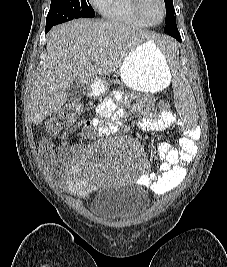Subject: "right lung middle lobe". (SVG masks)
Wrapping results in <instances>:
<instances>
[{"mask_svg":"<svg viewBox=\"0 0 227 267\" xmlns=\"http://www.w3.org/2000/svg\"><path fill=\"white\" fill-rule=\"evenodd\" d=\"M95 12L89 0H52L46 25H57L74 18H93Z\"/></svg>","mask_w":227,"mask_h":267,"instance_id":"dd1d6c3e","label":"right lung middle lobe"}]
</instances>
